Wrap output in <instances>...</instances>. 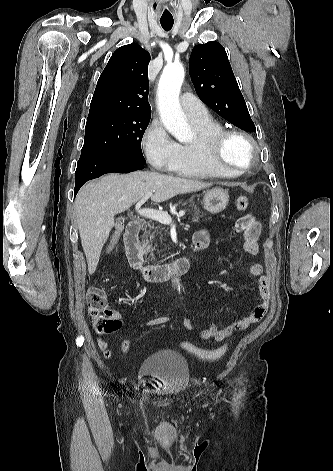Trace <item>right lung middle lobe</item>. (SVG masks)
<instances>
[{"label":"right lung middle lobe","mask_w":333,"mask_h":471,"mask_svg":"<svg viewBox=\"0 0 333 471\" xmlns=\"http://www.w3.org/2000/svg\"><path fill=\"white\" fill-rule=\"evenodd\" d=\"M151 115L105 113L88 117L81 157L112 155L146 163L141 140Z\"/></svg>","instance_id":"1"}]
</instances>
